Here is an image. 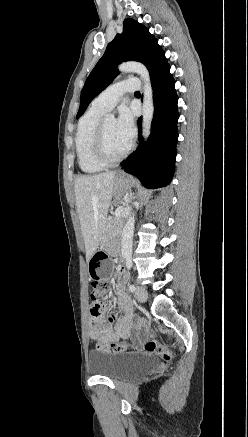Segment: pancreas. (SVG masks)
<instances>
[{"mask_svg":"<svg viewBox=\"0 0 248 437\" xmlns=\"http://www.w3.org/2000/svg\"><path fill=\"white\" fill-rule=\"evenodd\" d=\"M123 223V217H111L106 223V234L108 237H115L119 234L121 225Z\"/></svg>","mask_w":248,"mask_h":437,"instance_id":"cf45deb5","label":"pancreas"}]
</instances>
